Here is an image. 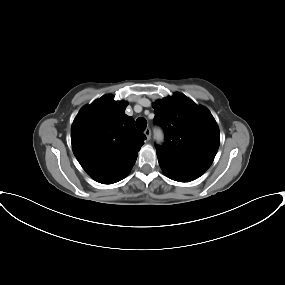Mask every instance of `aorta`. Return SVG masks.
I'll return each mask as SVG.
<instances>
[{"label": "aorta", "mask_w": 285, "mask_h": 285, "mask_svg": "<svg viewBox=\"0 0 285 285\" xmlns=\"http://www.w3.org/2000/svg\"><path fill=\"white\" fill-rule=\"evenodd\" d=\"M155 139L157 142H161L163 140V134L161 131H156L155 132Z\"/></svg>", "instance_id": "1"}]
</instances>
